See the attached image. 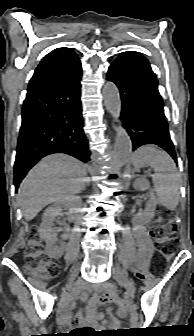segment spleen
I'll return each instance as SVG.
<instances>
[{
    "label": "spleen",
    "instance_id": "obj_1",
    "mask_svg": "<svg viewBox=\"0 0 194 336\" xmlns=\"http://www.w3.org/2000/svg\"><path fill=\"white\" fill-rule=\"evenodd\" d=\"M133 165L135 168L147 165L154 169L157 201L165 208L174 210L180 198V176L171 157L153 145H146L134 153Z\"/></svg>",
    "mask_w": 194,
    "mask_h": 336
}]
</instances>
